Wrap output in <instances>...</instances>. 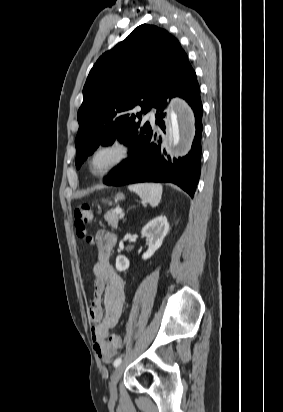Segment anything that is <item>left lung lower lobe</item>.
<instances>
[{
  "label": "left lung lower lobe",
  "instance_id": "obj_1",
  "mask_svg": "<svg viewBox=\"0 0 283 412\" xmlns=\"http://www.w3.org/2000/svg\"><path fill=\"white\" fill-rule=\"evenodd\" d=\"M173 96L184 98L192 107L195 115L196 134L191 151L183 158H166L162 148V138L152 130L151 126L138 134H133L128 142L131 156L114 168L103 182L107 185L119 186L137 182H170L174 183L191 197L194 196L200 177L201 165V133L202 103L200 88L196 74L192 70L175 87ZM167 103L160 105L156 111V124L165 131L162 118Z\"/></svg>",
  "mask_w": 283,
  "mask_h": 412
}]
</instances>
